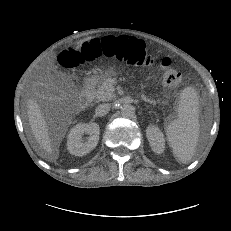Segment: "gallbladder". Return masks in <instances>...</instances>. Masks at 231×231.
Returning <instances> with one entry per match:
<instances>
[{
    "instance_id": "obj_1",
    "label": "gallbladder",
    "mask_w": 231,
    "mask_h": 231,
    "mask_svg": "<svg viewBox=\"0 0 231 231\" xmlns=\"http://www.w3.org/2000/svg\"><path fill=\"white\" fill-rule=\"evenodd\" d=\"M58 80L52 79L50 83L39 85V92L48 98H56L60 92V86L69 82V77L64 74L57 76Z\"/></svg>"
}]
</instances>
